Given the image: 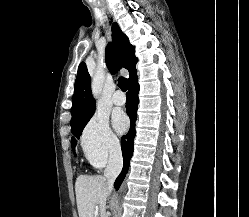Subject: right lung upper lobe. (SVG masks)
<instances>
[{"instance_id": "obj_1", "label": "right lung upper lobe", "mask_w": 249, "mask_h": 217, "mask_svg": "<svg viewBox=\"0 0 249 217\" xmlns=\"http://www.w3.org/2000/svg\"><path fill=\"white\" fill-rule=\"evenodd\" d=\"M114 44L108 45L105 51L106 65L111 73H116L121 67L128 69L130 80L135 74L137 58L134 55L135 48L129 43L128 37L121 31L117 23L112 25ZM118 55V59L116 57ZM95 110V101L92 97L90 75L86 64L81 62L75 81V91L72 100L71 124L80 121Z\"/></svg>"}]
</instances>
